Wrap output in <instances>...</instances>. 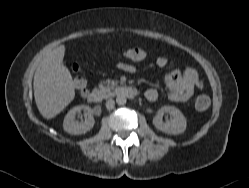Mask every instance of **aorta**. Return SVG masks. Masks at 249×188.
I'll list each match as a JSON object with an SVG mask.
<instances>
[{
	"mask_svg": "<svg viewBox=\"0 0 249 188\" xmlns=\"http://www.w3.org/2000/svg\"><path fill=\"white\" fill-rule=\"evenodd\" d=\"M127 102L126 97L122 94L117 95L116 97V103L118 105H125Z\"/></svg>",
	"mask_w": 249,
	"mask_h": 188,
	"instance_id": "762f6f07",
	"label": "aorta"
}]
</instances>
